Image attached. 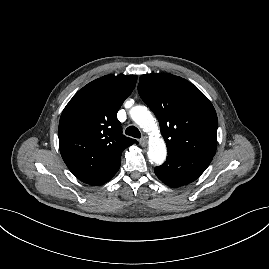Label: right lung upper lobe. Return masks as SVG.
<instances>
[{
    "instance_id": "right-lung-upper-lobe-1",
    "label": "right lung upper lobe",
    "mask_w": 269,
    "mask_h": 269,
    "mask_svg": "<svg viewBox=\"0 0 269 269\" xmlns=\"http://www.w3.org/2000/svg\"><path fill=\"white\" fill-rule=\"evenodd\" d=\"M136 75H106L80 89L64 108L59 147L69 170L82 182L102 185L121 164V153L136 140L122 134L117 111L131 94Z\"/></svg>"
}]
</instances>
